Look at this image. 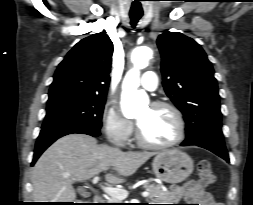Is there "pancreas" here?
<instances>
[{
	"label": "pancreas",
	"mask_w": 253,
	"mask_h": 205,
	"mask_svg": "<svg viewBox=\"0 0 253 205\" xmlns=\"http://www.w3.org/2000/svg\"><path fill=\"white\" fill-rule=\"evenodd\" d=\"M143 188L149 192V198L152 201H166L169 198V193L165 192L158 184L147 182ZM107 203H122L121 200L111 197Z\"/></svg>",
	"instance_id": "obj_1"
}]
</instances>
